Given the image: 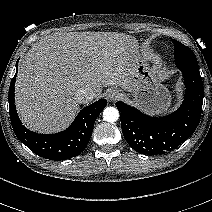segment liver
Listing matches in <instances>:
<instances>
[{
  "mask_svg": "<svg viewBox=\"0 0 212 212\" xmlns=\"http://www.w3.org/2000/svg\"><path fill=\"white\" fill-rule=\"evenodd\" d=\"M135 42L130 35L110 32L55 33L41 38L18 68L15 104L23 123L40 133L60 131L79 110V90L99 97L104 86L125 87V65Z\"/></svg>",
  "mask_w": 212,
  "mask_h": 212,
  "instance_id": "1",
  "label": "liver"
}]
</instances>
